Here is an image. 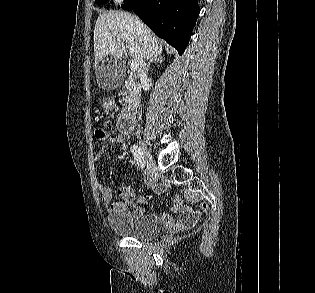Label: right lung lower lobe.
Here are the masks:
<instances>
[{"label":"right lung lower lobe","instance_id":"obj_1","mask_svg":"<svg viewBox=\"0 0 315 293\" xmlns=\"http://www.w3.org/2000/svg\"><path fill=\"white\" fill-rule=\"evenodd\" d=\"M121 7L133 10L180 54L184 53L199 15L198 0H125Z\"/></svg>","mask_w":315,"mask_h":293}]
</instances>
